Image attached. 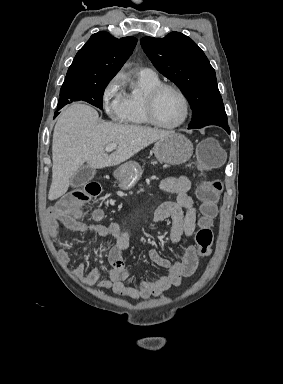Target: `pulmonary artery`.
<instances>
[{"label":"pulmonary artery","instance_id":"pulmonary-artery-1","mask_svg":"<svg viewBox=\"0 0 283 384\" xmlns=\"http://www.w3.org/2000/svg\"><path fill=\"white\" fill-rule=\"evenodd\" d=\"M139 74L144 75L145 77H148V78H157V74L149 68L141 69Z\"/></svg>","mask_w":283,"mask_h":384}]
</instances>
